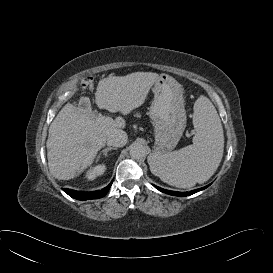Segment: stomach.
I'll return each mask as SVG.
<instances>
[{
    "label": "stomach",
    "mask_w": 273,
    "mask_h": 273,
    "mask_svg": "<svg viewBox=\"0 0 273 273\" xmlns=\"http://www.w3.org/2000/svg\"><path fill=\"white\" fill-rule=\"evenodd\" d=\"M153 93L149 114L154 125V148L156 153L164 154L176 147L186 127L183 90L173 77L161 74Z\"/></svg>",
    "instance_id": "stomach-1"
}]
</instances>
